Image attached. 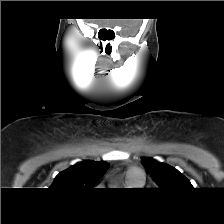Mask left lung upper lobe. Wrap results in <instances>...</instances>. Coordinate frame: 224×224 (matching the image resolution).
<instances>
[{"mask_svg": "<svg viewBox=\"0 0 224 224\" xmlns=\"http://www.w3.org/2000/svg\"><path fill=\"white\" fill-rule=\"evenodd\" d=\"M144 166L161 190L179 192L191 190L192 184L177 169L152 158H142Z\"/></svg>", "mask_w": 224, "mask_h": 224, "instance_id": "obj_1", "label": "left lung upper lobe"}]
</instances>
